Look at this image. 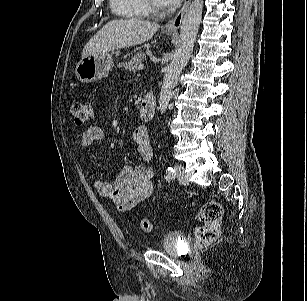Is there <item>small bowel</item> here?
<instances>
[{"mask_svg": "<svg viewBox=\"0 0 307 301\" xmlns=\"http://www.w3.org/2000/svg\"><path fill=\"white\" fill-rule=\"evenodd\" d=\"M104 139V131L100 127H90L83 132L81 145L89 149L95 142ZM133 142L137 153L144 161L153 157L150 133L145 125H139L133 132ZM155 172L153 167L139 165L124 169L113 184L93 176V184L97 192L109 199L120 212H128L154 193Z\"/></svg>", "mask_w": 307, "mask_h": 301, "instance_id": "small-bowel-1", "label": "small bowel"}]
</instances>
